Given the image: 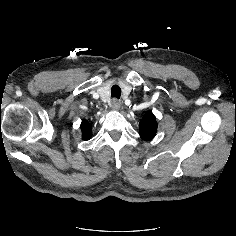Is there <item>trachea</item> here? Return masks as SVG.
Masks as SVG:
<instances>
[{
    "mask_svg": "<svg viewBox=\"0 0 236 236\" xmlns=\"http://www.w3.org/2000/svg\"><path fill=\"white\" fill-rule=\"evenodd\" d=\"M111 96L112 97H115L117 99L120 98L121 96V88L118 86V85H113L112 88H111Z\"/></svg>",
    "mask_w": 236,
    "mask_h": 236,
    "instance_id": "3493384b",
    "label": "trachea"
}]
</instances>
